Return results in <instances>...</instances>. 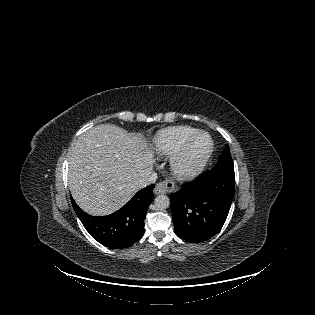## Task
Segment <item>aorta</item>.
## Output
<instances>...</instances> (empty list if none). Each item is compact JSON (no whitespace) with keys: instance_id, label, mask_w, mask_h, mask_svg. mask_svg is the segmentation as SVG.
Returning <instances> with one entry per match:
<instances>
[{"instance_id":"762f6f07","label":"aorta","mask_w":315,"mask_h":315,"mask_svg":"<svg viewBox=\"0 0 315 315\" xmlns=\"http://www.w3.org/2000/svg\"><path fill=\"white\" fill-rule=\"evenodd\" d=\"M155 206L159 210L167 209L170 206V199H169V197L166 196V195H158L155 198Z\"/></svg>"}]
</instances>
